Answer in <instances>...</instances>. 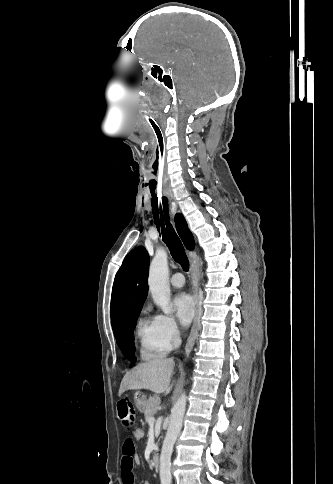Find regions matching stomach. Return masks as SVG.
I'll return each mask as SVG.
<instances>
[{
	"instance_id": "stomach-1",
	"label": "stomach",
	"mask_w": 333,
	"mask_h": 484,
	"mask_svg": "<svg viewBox=\"0 0 333 484\" xmlns=\"http://www.w3.org/2000/svg\"><path fill=\"white\" fill-rule=\"evenodd\" d=\"M148 398L141 392H136L134 396V403L140 412H143L146 408Z\"/></svg>"
}]
</instances>
